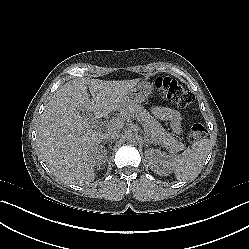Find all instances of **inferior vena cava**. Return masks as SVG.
<instances>
[{"mask_svg":"<svg viewBox=\"0 0 249 249\" xmlns=\"http://www.w3.org/2000/svg\"><path fill=\"white\" fill-rule=\"evenodd\" d=\"M118 128L115 126H111L107 129V132L105 134L102 135V139H116V137L118 136Z\"/></svg>","mask_w":249,"mask_h":249,"instance_id":"1","label":"inferior vena cava"}]
</instances>
